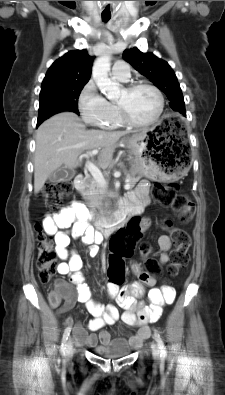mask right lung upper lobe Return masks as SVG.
<instances>
[{"label": "right lung upper lobe", "mask_w": 225, "mask_h": 395, "mask_svg": "<svg viewBox=\"0 0 225 395\" xmlns=\"http://www.w3.org/2000/svg\"><path fill=\"white\" fill-rule=\"evenodd\" d=\"M94 57L87 51H69L57 59L47 71L42 86L51 84L87 83L91 76Z\"/></svg>", "instance_id": "obj_1"}]
</instances>
